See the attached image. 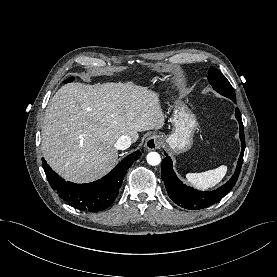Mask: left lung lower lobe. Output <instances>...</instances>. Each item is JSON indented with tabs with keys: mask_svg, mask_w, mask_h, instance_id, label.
Segmentation results:
<instances>
[{
	"mask_svg": "<svg viewBox=\"0 0 277 277\" xmlns=\"http://www.w3.org/2000/svg\"><path fill=\"white\" fill-rule=\"evenodd\" d=\"M235 116L240 125L239 134L242 151L234 175L225 185L217 190L211 192H201L183 184L173 171L171 158L165 153L166 157L163 159L161 167L162 180L164 181L169 197L177 205L191 210L207 208L220 201L235 185L240 173L245 150L244 129L238 108H236Z\"/></svg>",
	"mask_w": 277,
	"mask_h": 277,
	"instance_id": "left-lung-lower-lobe-1",
	"label": "left lung lower lobe"
}]
</instances>
